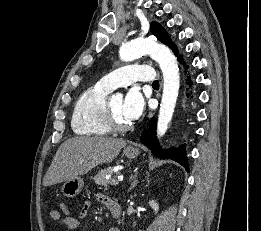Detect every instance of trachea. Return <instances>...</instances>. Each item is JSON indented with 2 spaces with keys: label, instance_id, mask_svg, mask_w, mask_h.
<instances>
[{
  "label": "trachea",
  "instance_id": "trachea-1",
  "mask_svg": "<svg viewBox=\"0 0 261 231\" xmlns=\"http://www.w3.org/2000/svg\"><path fill=\"white\" fill-rule=\"evenodd\" d=\"M153 86H159V81L158 80H155L153 83H152Z\"/></svg>",
  "mask_w": 261,
  "mask_h": 231
}]
</instances>
